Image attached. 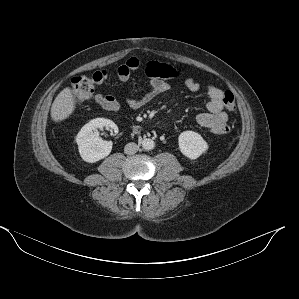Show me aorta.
Wrapping results in <instances>:
<instances>
[{
    "mask_svg": "<svg viewBox=\"0 0 299 299\" xmlns=\"http://www.w3.org/2000/svg\"><path fill=\"white\" fill-rule=\"evenodd\" d=\"M142 147L145 150H152L155 147V143L152 139L146 138L142 141Z\"/></svg>",
    "mask_w": 299,
    "mask_h": 299,
    "instance_id": "1",
    "label": "aorta"
}]
</instances>
